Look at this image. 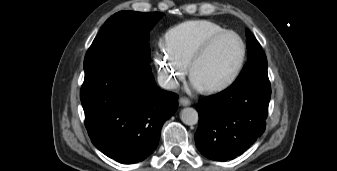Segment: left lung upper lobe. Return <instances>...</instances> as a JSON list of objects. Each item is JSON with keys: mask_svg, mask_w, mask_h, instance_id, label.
Segmentation results:
<instances>
[{"mask_svg": "<svg viewBox=\"0 0 337 171\" xmlns=\"http://www.w3.org/2000/svg\"><path fill=\"white\" fill-rule=\"evenodd\" d=\"M246 36L249 60L231 86L248 82H263L270 84L267 73V58L261 45L248 29L246 30Z\"/></svg>", "mask_w": 337, "mask_h": 171, "instance_id": "left-lung-upper-lobe-1", "label": "left lung upper lobe"}]
</instances>
